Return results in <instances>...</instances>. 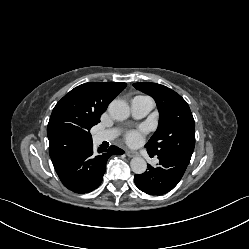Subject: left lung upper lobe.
Wrapping results in <instances>:
<instances>
[{
    "mask_svg": "<svg viewBox=\"0 0 249 249\" xmlns=\"http://www.w3.org/2000/svg\"><path fill=\"white\" fill-rule=\"evenodd\" d=\"M133 86L153 97L160 113L158 128L145 145L147 151L190 161L195 146V124L187 102L160 84L134 83Z\"/></svg>",
    "mask_w": 249,
    "mask_h": 249,
    "instance_id": "left-lung-upper-lobe-1",
    "label": "left lung upper lobe"
}]
</instances>
